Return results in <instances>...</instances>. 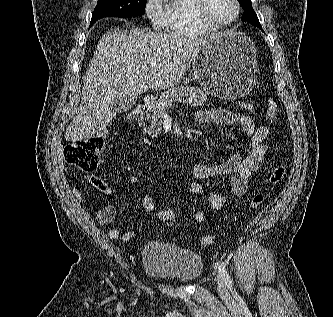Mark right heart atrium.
<instances>
[{"label": "right heart atrium", "instance_id": "1", "mask_svg": "<svg viewBox=\"0 0 333 317\" xmlns=\"http://www.w3.org/2000/svg\"><path fill=\"white\" fill-rule=\"evenodd\" d=\"M144 12L154 29L159 30L165 27V13L162 0H145Z\"/></svg>", "mask_w": 333, "mask_h": 317}]
</instances>
